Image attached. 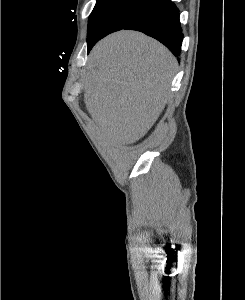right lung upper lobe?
Instances as JSON below:
<instances>
[{"mask_svg": "<svg viewBox=\"0 0 245 300\" xmlns=\"http://www.w3.org/2000/svg\"><path fill=\"white\" fill-rule=\"evenodd\" d=\"M142 1H158V2H160V3H164V2H166V1H168V0H142Z\"/></svg>", "mask_w": 245, "mask_h": 300, "instance_id": "right-lung-upper-lobe-1", "label": "right lung upper lobe"}]
</instances>
